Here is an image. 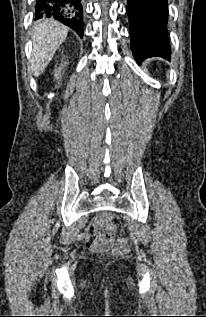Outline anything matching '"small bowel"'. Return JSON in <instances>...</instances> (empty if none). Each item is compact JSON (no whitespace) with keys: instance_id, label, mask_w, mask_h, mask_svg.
<instances>
[{"instance_id":"c3829d8e","label":"small bowel","mask_w":206,"mask_h":317,"mask_svg":"<svg viewBox=\"0 0 206 317\" xmlns=\"http://www.w3.org/2000/svg\"><path fill=\"white\" fill-rule=\"evenodd\" d=\"M99 224V221L97 219L93 220L88 228H87V237L89 236V234L96 228V226Z\"/></svg>"}]
</instances>
